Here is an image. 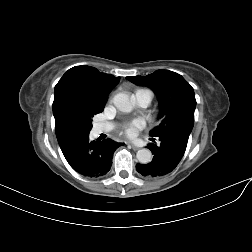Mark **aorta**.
Returning a JSON list of instances; mask_svg holds the SVG:
<instances>
[{"label": "aorta", "mask_w": 252, "mask_h": 252, "mask_svg": "<svg viewBox=\"0 0 252 252\" xmlns=\"http://www.w3.org/2000/svg\"><path fill=\"white\" fill-rule=\"evenodd\" d=\"M113 103L121 112L129 113L133 110V103L126 94H116L113 98ZM136 157L141 164H147L152 160V153L149 149L143 148L138 150Z\"/></svg>", "instance_id": "762f6f07"}]
</instances>
